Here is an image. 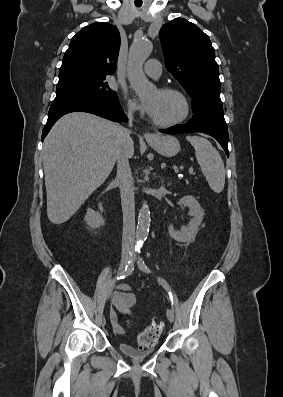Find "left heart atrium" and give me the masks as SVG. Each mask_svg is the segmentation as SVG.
<instances>
[{"label":"left heart atrium","instance_id":"39dd6f15","mask_svg":"<svg viewBox=\"0 0 283 397\" xmlns=\"http://www.w3.org/2000/svg\"><path fill=\"white\" fill-rule=\"evenodd\" d=\"M140 108L143 110V111H145L147 114H149L150 116H152L153 115V113H154V103L153 102H151V101H147V102H145V103H141L140 105Z\"/></svg>","mask_w":283,"mask_h":397}]
</instances>
